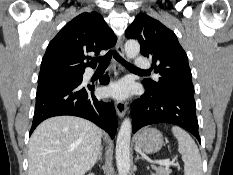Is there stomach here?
Returning <instances> with one entry per match:
<instances>
[{
    "label": "stomach",
    "mask_w": 233,
    "mask_h": 175,
    "mask_svg": "<svg viewBox=\"0 0 233 175\" xmlns=\"http://www.w3.org/2000/svg\"><path fill=\"white\" fill-rule=\"evenodd\" d=\"M136 147L148 154L158 152L163 146V136L155 128H145L135 137Z\"/></svg>",
    "instance_id": "1"
}]
</instances>
